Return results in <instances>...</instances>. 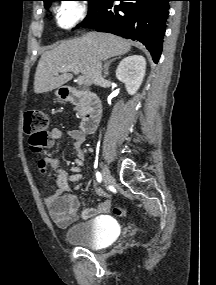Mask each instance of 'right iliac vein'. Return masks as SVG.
Segmentation results:
<instances>
[{"instance_id": "63e3f726", "label": "right iliac vein", "mask_w": 216, "mask_h": 285, "mask_svg": "<svg viewBox=\"0 0 216 285\" xmlns=\"http://www.w3.org/2000/svg\"><path fill=\"white\" fill-rule=\"evenodd\" d=\"M103 181L105 185H109L112 182L111 173L106 165L102 167Z\"/></svg>"}]
</instances>
